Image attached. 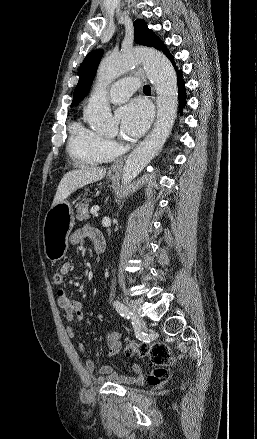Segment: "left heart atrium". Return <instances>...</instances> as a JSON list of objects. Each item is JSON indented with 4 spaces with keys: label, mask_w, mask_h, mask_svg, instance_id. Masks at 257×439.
<instances>
[{
    "label": "left heart atrium",
    "mask_w": 257,
    "mask_h": 439,
    "mask_svg": "<svg viewBox=\"0 0 257 439\" xmlns=\"http://www.w3.org/2000/svg\"><path fill=\"white\" fill-rule=\"evenodd\" d=\"M151 109L143 100H134L117 111L121 136L134 139L141 136L151 120Z\"/></svg>",
    "instance_id": "1"
}]
</instances>
